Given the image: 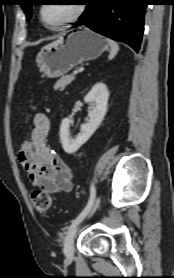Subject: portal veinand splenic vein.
<instances>
[{"mask_svg": "<svg viewBox=\"0 0 174 278\" xmlns=\"http://www.w3.org/2000/svg\"><path fill=\"white\" fill-rule=\"evenodd\" d=\"M78 72H79L78 70H74L73 73L76 75V74H78Z\"/></svg>", "mask_w": 174, "mask_h": 278, "instance_id": "18ae733b", "label": "portal vein and splenic vein"}]
</instances>
